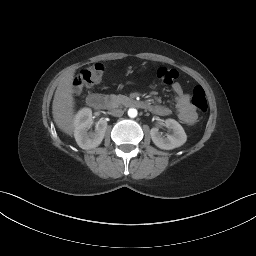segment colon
<instances>
[{
  "instance_id": "5ec220e1",
  "label": "colon",
  "mask_w": 256,
  "mask_h": 256,
  "mask_svg": "<svg viewBox=\"0 0 256 256\" xmlns=\"http://www.w3.org/2000/svg\"><path fill=\"white\" fill-rule=\"evenodd\" d=\"M104 71L105 67L102 63H94L83 68L74 78L73 84L75 90L79 92L99 81L102 78ZM157 77L162 83L171 84L177 79L178 73L175 69L161 67L157 71ZM192 103L200 112H205L207 110L208 104L206 94L200 85L193 88Z\"/></svg>"
}]
</instances>
